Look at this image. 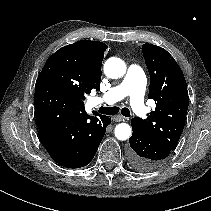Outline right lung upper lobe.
<instances>
[{"mask_svg": "<svg viewBox=\"0 0 211 211\" xmlns=\"http://www.w3.org/2000/svg\"><path fill=\"white\" fill-rule=\"evenodd\" d=\"M106 48L107 45L99 41L80 40L62 47L51 56L63 57L89 94L100 87L101 63Z\"/></svg>", "mask_w": 211, "mask_h": 211, "instance_id": "obj_1", "label": "right lung upper lobe"}]
</instances>
